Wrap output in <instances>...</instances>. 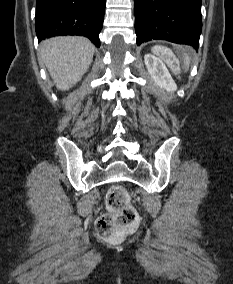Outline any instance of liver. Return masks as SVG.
Wrapping results in <instances>:
<instances>
[{"mask_svg": "<svg viewBox=\"0 0 233 284\" xmlns=\"http://www.w3.org/2000/svg\"><path fill=\"white\" fill-rule=\"evenodd\" d=\"M95 47L85 37L63 36L42 42L41 56L59 90L75 86L87 72Z\"/></svg>", "mask_w": 233, "mask_h": 284, "instance_id": "liver-1", "label": "liver"}]
</instances>
